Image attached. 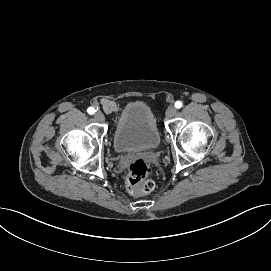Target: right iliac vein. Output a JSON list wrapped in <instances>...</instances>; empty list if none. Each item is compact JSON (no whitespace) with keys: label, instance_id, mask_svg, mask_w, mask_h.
<instances>
[{"label":"right iliac vein","instance_id":"63e3f726","mask_svg":"<svg viewBox=\"0 0 271 271\" xmlns=\"http://www.w3.org/2000/svg\"><path fill=\"white\" fill-rule=\"evenodd\" d=\"M94 119H95L96 121H98V122H102V121H104L105 117H104L103 113H101V112H96V113L94 114Z\"/></svg>","mask_w":271,"mask_h":271}]
</instances>
